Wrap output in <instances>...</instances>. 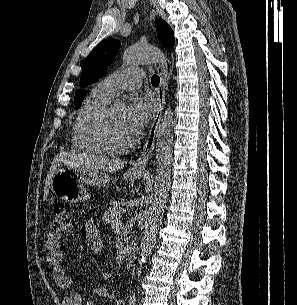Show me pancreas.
<instances>
[{
    "instance_id": "cf45deb5",
    "label": "pancreas",
    "mask_w": 297,
    "mask_h": 305,
    "mask_svg": "<svg viewBox=\"0 0 297 305\" xmlns=\"http://www.w3.org/2000/svg\"><path fill=\"white\" fill-rule=\"evenodd\" d=\"M123 204L119 201H113L110 207L104 212L103 219L107 223L116 224L123 215Z\"/></svg>"
}]
</instances>
